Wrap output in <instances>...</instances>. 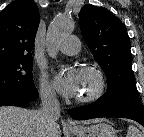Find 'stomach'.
<instances>
[{
    "label": "stomach",
    "instance_id": "1",
    "mask_svg": "<svg viewBox=\"0 0 144 137\" xmlns=\"http://www.w3.org/2000/svg\"><path fill=\"white\" fill-rule=\"evenodd\" d=\"M76 137H117V131L107 123L98 122L90 126H79L72 129Z\"/></svg>",
    "mask_w": 144,
    "mask_h": 137
}]
</instances>
